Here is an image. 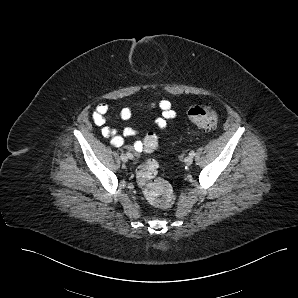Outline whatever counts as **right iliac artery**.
I'll return each instance as SVG.
<instances>
[{"instance_id":"right-iliac-artery-1","label":"right iliac artery","mask_w":298,"mask_h":298,"mask_svg":"<svg viewBox=\"0 0 298 298\" xmlns=\"http://www.w3.org/2000/svg\"><path fill=\"white\" fill-rule=\"evenodd\" d=\"M126 154H127L128 158H130V159L133 158V155L130 152H127Z\"/></svg>"}]
</instances>
